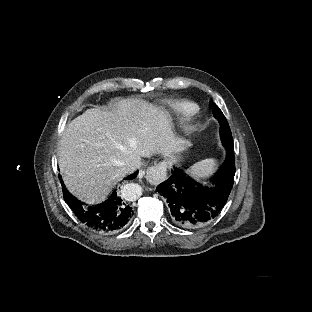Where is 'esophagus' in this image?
I'll return each mask as SVG.
<instances>
[{"mask_svg": "<svg viewBox=\"0 0 312 312\" xmlns=\"http://www.w3.org/2000/svg\"><path fill=\"white\" fill-rule=\"evenodd\" d=\"M139 177H145L152 185H158L167 177V165L165 162H159L146 169L144 173H139Z\"/></svg>", "mask_w": 312, "mask_h": 312, "instance_id": "obj_1", "label": "esophagus"}]
</instances>
